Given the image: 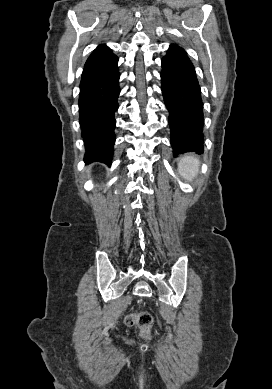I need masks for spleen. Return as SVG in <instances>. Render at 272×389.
I'll return each mask as SVG.
<instances>
[{"label":"spleen","instance_id":"spleen-1","mask_svg":"<svg viewBox=\"0 0 272 389\" xmlns=\"http://www.w3.org/2000/svg\"><path fill=\"white\" fill-rule=\"evenodd\" d=\"M178 169L184 179L191 180L199 171V160L192 155H185L179 160Z\"/></svg>","mask_w":272,"mask_h":389}]
</instances>
